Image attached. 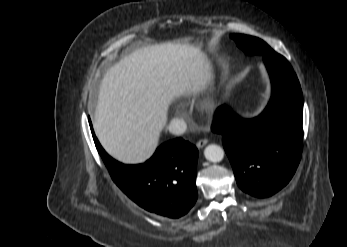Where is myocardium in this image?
Wrapping results in <instances>:
<instances>
[{"label":"myocardium","instance_id":"f54148a6","mask_svg":"<svg viewBox=\"0 0 347 247\" xmlns=\"http://www.w3.org/2000/svg\"><path fill=\"white\" fill-rule=\"evenodd\" d=\"M214 107V100L213 98H208L205 102H204V108L207 110H211Z\"/></svg>","mask_w":347,"mask_h":247}]
</instances>
